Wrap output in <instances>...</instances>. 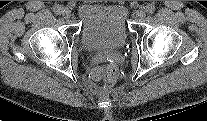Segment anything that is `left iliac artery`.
Returning a JSON list of instances; mask_svg holds the SVG:
<instances>
[{
    "label": "left iliac artery",
    "instance_id": "44dca946",
    "mask_svg": "<svg viewBox=\"0 0 207 121\" xmlns=\"http://www.w3.org/2000/svg\"><path fill=\"white\" fill-rule=\"evenodd\" d=\"M155 11V6L154 5H148L147 6V12L148 13H153Z\"/></svg>",
    "mask_w": 207,
    "mask_h": 121
}]
</instances>
